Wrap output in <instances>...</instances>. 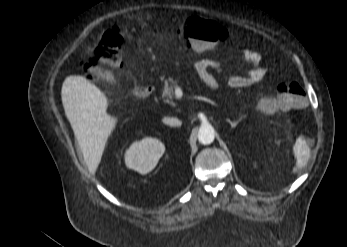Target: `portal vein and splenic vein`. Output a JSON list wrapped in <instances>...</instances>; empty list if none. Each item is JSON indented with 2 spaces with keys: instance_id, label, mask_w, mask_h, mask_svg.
I'll list each match as a JSON object with an SVG mask.
<instances>
[{
  "instance_id": "obj_1",
  "label": "portal vein and splenic vein",
  "mask_w": 347,
  "mask_h": 247,
  "mask_svg": "<svg viewBox=\"0 0 347 247\" xmlns=\"http://www.w3.org/2000/svg\"><path fill=\"white\" fill-rule=\"evenodd\" d=\"M174 93H175V97L178 98V99H180L182 97V95H183V92H182L180 87H176ZM197 99L205 101V102H209L210 104L215 105L214 101H212V100H210V99H208L206 97H202V96L199 97L198 96Z\"/></svg>"
}]
</instances>
